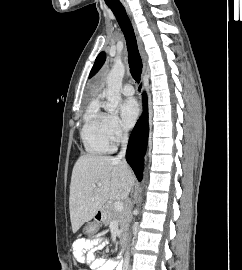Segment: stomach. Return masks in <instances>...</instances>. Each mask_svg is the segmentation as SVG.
Segmentation results:
<instances>
[{
	"label": "stomach",
	"instance_id": "obj_1",
	"mask_svg": "<svg viewBox=\"0 0 242 270\" xmlns=\"http://www.w3.org/2000/svg\"><path fill=\"white\" fill-rule=\"evenodd\" d=\"M100 213H101V221H102L104 219V217H105V213H104L103 210H101ZM99 222L100 221H98L97 223H92V224L88 225L87 227H85L86 232L87 233H93L96 230V227H97Z\"/></svg>",
	"mask_w": 242,
	"mask_h": 270
}]
</instances>
